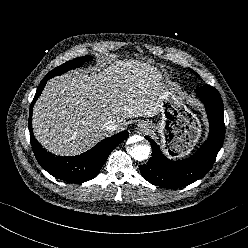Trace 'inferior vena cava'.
I'll return each instance as SVG.
<instances>
[{
  "mask_svg": "<svg viewBox=\"0 0 248 248\" xmlns=\"http://www.w3.org/2000/svg\"><path fill=\"white\" fill-rule=\"evenodd\" d=\"M117 124L116 122L110 120V121H107L105 124H104V128L105 130H107L108 132H113L117 129Z\"/></svg>",
  "mask_w": 248,
  "mask_h": 248,
  "instance_id": "1",
  "label": "inferior vena cava"
}]
</instances>
